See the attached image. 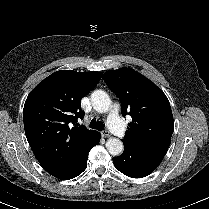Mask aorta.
Instances as JSON below:
<instances>
[{
  "label": "aorta",
  "mask_w": 209,
  "mask_h": 209,
  "mask_svg": "<svg viewBox=\"0 0 209 209\" xmlns=\"http://www.w3.org/2000/svg\"><path fill=\"white\" fill-rule=\"evenodd\" d=\"M91 104L99 113H105L109 110L111 100L108 94L103 90H95L91 94ZM108 152L113 156H118L123 152L124 145L118 138H109L106 142Z\"/></svg>",
  "instance_id": "aorta-1"
}]
</instances>
